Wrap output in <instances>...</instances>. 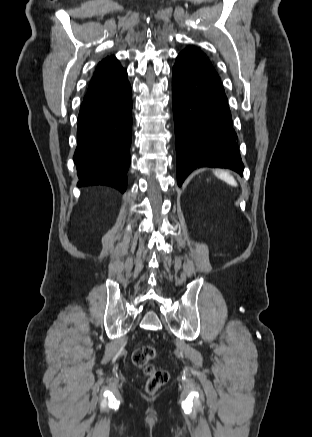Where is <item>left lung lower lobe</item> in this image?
I'll list each match as a JSON object with an SVG mask.
<instances>
[{"instance_id":"left-lung-lower-lobe-1","label":"left lung lower lobe","mask_w":312,"mask_h":437,"mask_svg":"<svg viewBox=\"0 0 312 437\" xmlns=\"http://www.w3.org/2000/svg\"><path fill=\"white\" fill-rule=\"evenodd\" d=\"M177 182L196 168H229L243 174L227 97L211 62L182 51L172 70Z\"/></svg>"}]
</instances>
